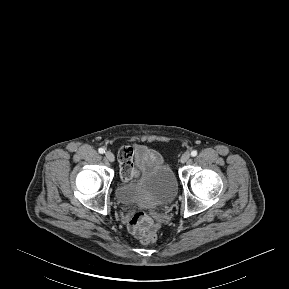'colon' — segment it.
<instances>
[{"label":"colon","mask_w":289,"mask_h":289,"mask_svg":"<svg viewBox=\"0 0 289 289\" xmlns=\"http://www.w3.org/2000/svg\"><path fill=\"white\" fill-rule=\"evenodd\" d=\"M139 217L144 218V217H148L147 215H145L144 213H137ZM157 240V232L156 230H150L148 231L142 238H141V242L143 244H150V243H154Z\"/></svg>","instance_id":"obj_1"}]
</instances>
